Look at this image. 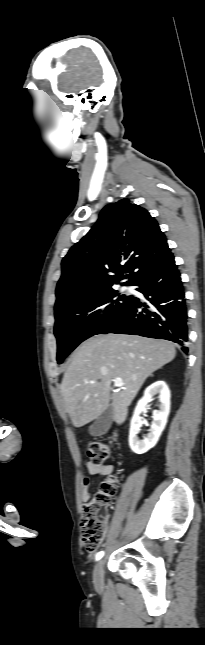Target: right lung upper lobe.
Here are the masks:
<instances>
[{
	"instance_id": "right-lung-upper-lobe-1",
	"label": "right lung upper lobe",
	"mask_w": 205,
	"mask_h": 645,
	"mask_svg": "<svg viewBox=\"0 0 205 645\" xmlns=\"http://www.w3.org/2000/svg\"><path fill=\"white\" fill-rule=\"evenodd\" d=\"M172 257L165 235L144 208L128 199L109 204L62 260L55 313L83 296L112 289L120 280L129 278L121 284H132Z\"/></svg>"
}]
</instances>
